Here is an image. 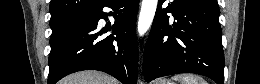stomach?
Segmentation results:
<instances>
[{"instance_id":"1","label":"stomach","mask_w":260,"mask_h":84,"mask_svg":"<svg viewBox=\"0 0 260 84\" xmlns=\"http://www.w3.org/2000/svg\"><path fill=\"white\" fill-rule=\"evenodd\" d=\"M156 84H174V83L167 80V79H160V80L157 81Z\"/></svg>"}]
</instances>
